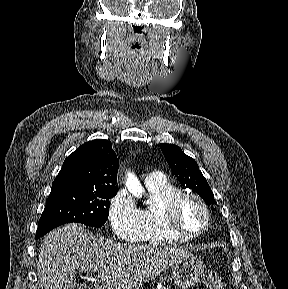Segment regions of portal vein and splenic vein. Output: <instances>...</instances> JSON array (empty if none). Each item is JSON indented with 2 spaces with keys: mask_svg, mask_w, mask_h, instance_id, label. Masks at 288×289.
Listing matches in <instances>:
<instances>
[{
  "mask_svg": "<svg viewBox=\"0 0 288 289\" xmlns=\"http://www.w3.org/2000/svg\"><path fill=\"white\" fill-rule=\"evenodd\" d=\"M81 270H83V268H81ZM94 286L96 289H104L102 285L99 284V282H95Z\"/></svg>",
  "mask_w": 288,
  "mask_h": 289,
  "instance_id": "18ae733b",
  "label": "portal vein and splenic vein"
}]
</instances>
